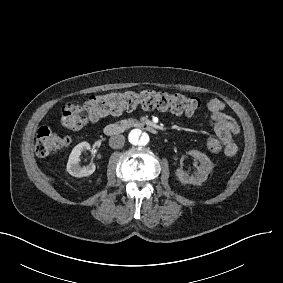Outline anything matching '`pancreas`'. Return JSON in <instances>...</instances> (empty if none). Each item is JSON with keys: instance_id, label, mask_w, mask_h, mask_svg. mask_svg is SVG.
I'll return each mask as SVG.
<instances>
[{"instance_id": "cf45deb5", "label": "pancreas", "mask_w": 283, "mask_h": 283, "mask_svg": "<svg viewBox=\"0 0 283 283\" xmlns=\"http://www.w3.org/2000/svg\"><path fill=\"white\" fill-rule=\"evenodd\" d=\"M124 122H125V121H121V122H120V125H123V124H124Z\"/></svg>"}]
</instances>
